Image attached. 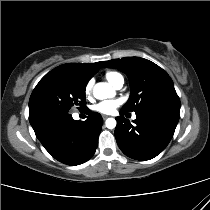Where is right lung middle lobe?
I'll return each instance as SVG.
<instances>
[{
    "label": "right lung middle lobe",
    "instance_id": "obj_1",
    "mask_svg": "<svg viewBox=\"0 0 210 210\" xmlns=\"http://www.w3.org/2000/svg\"><path fill=\"white\" fill-rule=\"evenodd\" d=\"M87 83L66 74L45 75L33 90L29 100V121L55 114H68L73 106L86 108Z\"/></svg>",
    "mask_w": 210,
    "mask_h": 210
}]
</instances>
